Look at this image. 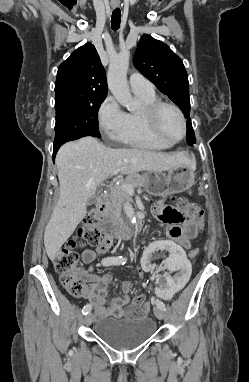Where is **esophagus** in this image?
Returning <instances> with one entry per match:
<instances>
[{
    "label": "esophagus",
    "instance_id": "obj_1",
    "mask_svg": "<svg viewBox=\"0 0 249 382\" xmlns=\"http://www.w3.org/2000/svg\"><path fill=\"white\" fill-rule=\"evenodd\" d=\"M118 5H119L118 3H114V2L111 4L112 8H116L118 7Z\"/></svg>",
    "mask_w": 249,
    "mask_h": 382
}]
</instances>
